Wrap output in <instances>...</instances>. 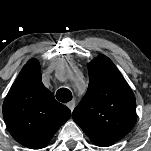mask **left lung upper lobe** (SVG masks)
Returning <instances> with one entry per match:
<instances>
[{
    "label": "left lung upper lobe",
    "instance_id": "5c2ea615",
    "mask_svg": "<svg viewBox=\"0 0 151 151\" xmlns=\"http://www.w3.org/2000/svg\"><path fill=\"white\" fill-rule=\"evenodd\" d=\"M89 86L72 117L96 143L122 139L135 125V96L114 63L99 55L88 64Z\"/></svg>",
    "mask_w": 151,
    "mask_h": 151
}]
</instances>
